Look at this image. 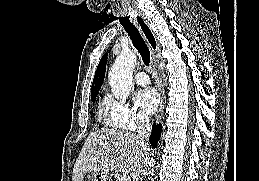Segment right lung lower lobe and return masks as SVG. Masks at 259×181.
I'll return each mask as SVG.
<instances>
[{
  "instance_id": "1",
  "label": "right lung lower lobe",
  "mask_w": 259,
  "mask_h": 181,
  "mask_svg": "<svg viewBox=\"0 0 259 181\" xmlns=\"http://www.w3.org/2000/svg\"><path fill=\"white\" fill-rule=\"evenodd\" d=\"M161 128L162 126L161 125H156L154 124L152 126V133L150 135V138H149V141H150V144L153 146V147H156L157 146V143L160 139V135H161Z\"/></svg>"
}]
</instances>
